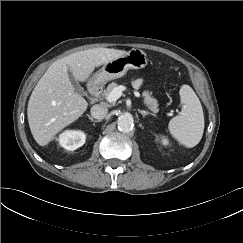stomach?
Segmentation results:
<instances>
[{
  "instance_id": "obj_1",
  "label": "stomach",
  "mask_w": 243,
  "mask_h": 243,
  "mask_svg": "<svg viewBox=\"0 0 243 243\" xmlns=\"http://www.w3.org/2000/svg\"><path fill=\"white\" fill-rule=\"evenodd\" d=\"M148 65L146 53L141 49H131L123 56L106 62L100 70L93 75L95 84L103 85L106 82L120 78L129 69H142Z\"/></svg>"
}]
</instances>
